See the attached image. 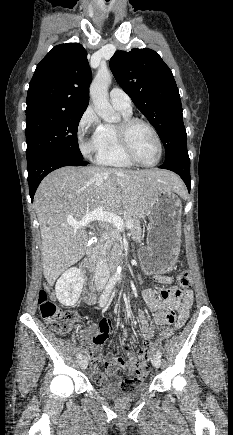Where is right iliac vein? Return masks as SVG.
Segmentation results:
<instances>
[{
    "label": "right iliac vein",
    "instance_id": "obj_1",
    "mask_svg": "<svg viewBox=\"0 0 233 435\" xmlns=\"http://www.w3.org/2000/svg\"><path fill=\"white\" fill-rule=\"evenodd\" d=\"M79 364H80V366H81L82 369H86L87 366H88V359H87V357H82V358L79 360Z\"/></svg>",
    "mask_w": 233,
    "mask_h": 435
}]
</instances>
